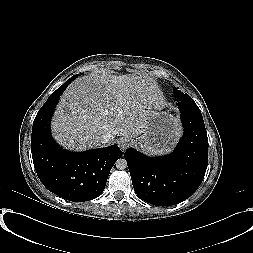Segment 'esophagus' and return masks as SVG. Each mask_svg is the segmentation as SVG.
I'll list each match as a JSON object with an SVG mask.
<instances>
[{"mask_svg":"<svg viewBox=\"0 0 253 253\" xmlns=\"http://www.w3.org/2000/svg\"><path fill=\"white\" fill-rule=\"evenodd\" d=\"M129 139L126 137H122L118 139V145L121 149L125 150L126 147L128 146Z\"/></svg>","mask_w":253,"mask_h":253,"instance_id":"esophagus-1","label":"esophagus"}]
</instances>
